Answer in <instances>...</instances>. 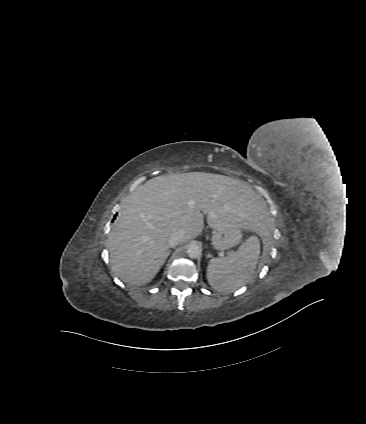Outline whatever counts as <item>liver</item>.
<instances>
[{
  "mask_svg": "<svg viewBox=\"0 0 366 424\" xmlns=\"http://www.w3.org/2000/svg\"><path fill=\"white\" fill-rule=\"evenodd\" d=\"M265 203L239 179L205 172L158 176L138 187L122 205L108 236L112 270L124 282L152 281L170 254L168 239L198 236L204 214L213 230L238 225L263 236Z\"/></svg>",
  "mask_w": 366,
  "mask_h": 424,
  "instance_id": "liver-1",
  "label": "liver"
}]
</instances>
